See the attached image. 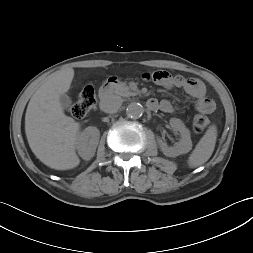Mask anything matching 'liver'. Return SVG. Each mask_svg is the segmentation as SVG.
<instances>
[{
    "label": "liver",
    "mask_w": 253,
    "mask_h": 253,
    "mask_svg": "<svg viewBox=\"0 0 253 253\" xmlns=\"http://www.w3.org/2000/svg\"><path fill=\"white\" fill-rule=\"evenodd\" d=\"M73 77L72 68L50 75L31 97L25 114V133L32 152L55 170L73 169L80 164L76 154L80 124L65 115L59 102Z\"/></svg>",
    "instance_id": "1"
}]
</instances>
